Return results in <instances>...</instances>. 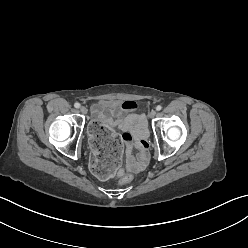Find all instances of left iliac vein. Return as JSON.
Returning <instances> with one entry per match:
<instances>
[{
    "mask_svg": "<svg viewBox=\"0 0 248 248\" xmlns=\"http://www.w3.org/2000/svg\"><path fill=\"white\" fill-rule=\"evenodd\" d=\"M156 116V111L155 110H151L150 113H149V117L150 118H153Z\"/></svg>",
    "mask_w": 248,
    "mask_h": 248,
    "instance_id": "1",
    "label": "left iliac vein"
}]
</instances>
